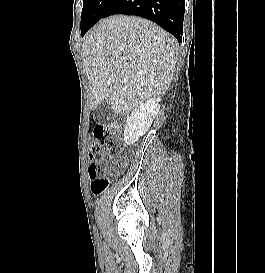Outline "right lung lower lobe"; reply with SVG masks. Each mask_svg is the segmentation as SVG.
I'll list each match as a JSON object with an SVG mask.
<instances>
[{"mask_svg": "<svg viewBox=\"0 0 265 273\" xmlns=\"http://www.w3.org/2000/svg\"><path fill=\"white\" fill-rule=\"evenodd\" d=\"M184 12L185 0H115L104 17L125 14L150 19L171 33L180 43Z\"/></svg>", "mask_w": 265, "mask_h": 273, "instance_id": "obj_1", "label": "right lung lower lobe"}]
</instances>
